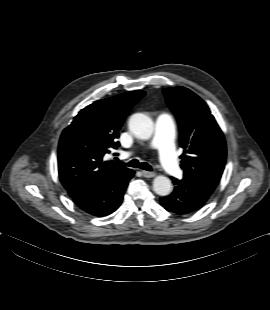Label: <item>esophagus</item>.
I'll list each match as a JSON object with an SVG mask.
<instances>
[{
    "label": "esophagus",
    "instance_id": "obj_1",
    "mask_svg": "<svg viewBox=\"0 0 270 310\" xmlns=\"http://www.w3.org/2000/svg\"><path fill=\"white\" fill-rule=\"evenodd\" d=\"M142 175H143L144 177H146V178H152V177H154V176L156 175V173H155V172H150V171H145V170H143V171H142Z\"/></svg>",
    "mask_w": 270,
    "mask_h": 310
}]
</instances>
